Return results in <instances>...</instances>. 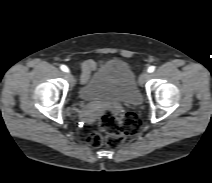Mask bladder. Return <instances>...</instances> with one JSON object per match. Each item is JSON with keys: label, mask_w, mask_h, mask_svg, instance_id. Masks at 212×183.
<instances>
[{"label": "bladder", "mask_w": 212, "mask_h": 183, "mask_svg": "<svg viewBox=\"0 0 212 183\" xmlns=\"http://www.w3.org/2000/svg\"><path fill=\"white\" fill-rule=\"evenodd\" d=\"M84 101L112 100L130 105L140 102L135 75L125 62L107 61L80 87Z\"/></svg>", "instance_id": "1"}]
</instances>
